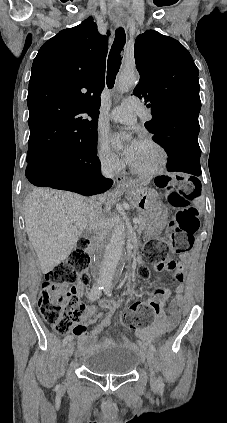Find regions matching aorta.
<instances>
[{
	"label": "aorta",
	"mask_w": 227,
	"mask_h": 423,
	"mask_svg": "<svg viewBox=\"0 0 227 423\" xmlns=\"http://www.w3.org/2000/svg\"><path fill=\"white\" fill-rule=\"evenodd\" d=\"M137 80L138 74L135 71L121 72L118 77V90L122 93L127 92L136 84ZM125 239L124 225L117 221L109 241L103 242L97 247L92 267L100 286L110 287L118 281L125 265Z\"/></svg>",
	"instance_id": "1"
}]
</instances>
